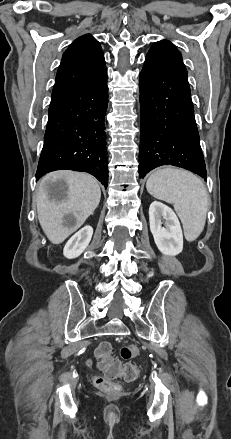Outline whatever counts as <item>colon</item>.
I'll list each match as a JSON object with an SVG mask.
<instances>
[{"mask_svg":"<svg viewBox=\"0 0 231 439\" xmlns=\"http://www.w3.org/2000/svg\"><path fill=\"white\" fill-rule=\"evenodd\" d=\"M121 357L123 359H132L139 355L140 350L137 346L129 345L121 349ZM98 359V367L102 371V375L93 377L96 387L104 391H117L119 385L115 379L122 377L126 381L136 379L138 369L133 364H122L113 358L111 354V346L108 343H102L96 351Z\"/></svg>","mask_w":231,"mask_h":439,"instance_id":"colon-1","label":"colon"}]
</instances>
